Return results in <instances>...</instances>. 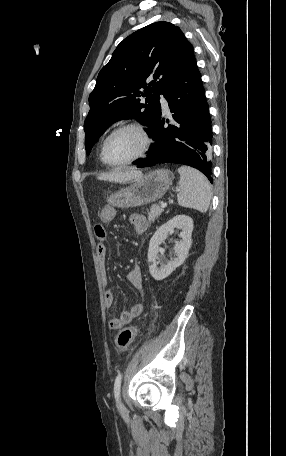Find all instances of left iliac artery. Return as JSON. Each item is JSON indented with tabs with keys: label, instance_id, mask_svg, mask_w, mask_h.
Returning a JSON list of instances; mask_svg holds the SVG:
<instances>
[{
	"label": "left iliac artery",
	"instance_id": "44dca946",
	"mask_svg": "<svg viewBox=\"0 0 286 456\" xmlns=\"http://www.w3.org/2000/svg\"><path fill=\"white\" fill-rule=\"evenodd\" d=\"M122 374L119 373L114 382V395L118 402L120 400V389H121Z\"/></svg>",
	"mask_w": 286,
	"mask_h": 456
}]
</instances>
